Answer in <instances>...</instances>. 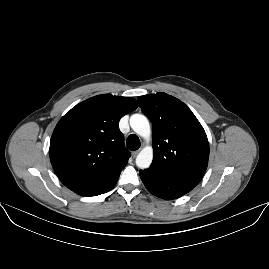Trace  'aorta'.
<instances>
[{
    "label": "aorta",
    "instance_id": "1",
    "mask_svg": "<svg viewBox=\"0 0 269 269\" xmlns=\"http://www.w3.org/2000/svg\"><path fill=\"white\" fill-rule=\"evenodd\" d=\"M130 126L133 131L144 140V147L136 157V163L140 168H147L153 161L152 128L146 116L135 114L130 118Z\"/></svg>",
    "mask_w": 269,
    "mask_h": 269
}]
</instances>
